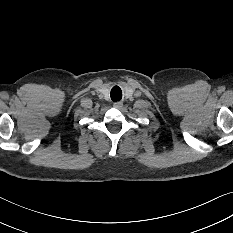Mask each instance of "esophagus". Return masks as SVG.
I'll return each instance as SVG.
<instances>
[{"mask_svg": "<svg viewBox=\"0 0 233 233\" xmlns=\"http://www.w3.org/2000/svg\"><path fill=\"white\" fill-rule=\"evenodd\" d=\"M113 106H114L115 108L120 109V108H122V106H123V102H115V103L113 104Z\"/></svg>", "mask_w": 233, "mask_h": 233, "instance_id": "1", "label": "esophagus"}]
</instances>
